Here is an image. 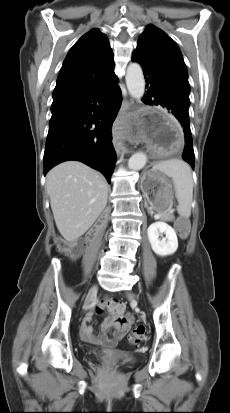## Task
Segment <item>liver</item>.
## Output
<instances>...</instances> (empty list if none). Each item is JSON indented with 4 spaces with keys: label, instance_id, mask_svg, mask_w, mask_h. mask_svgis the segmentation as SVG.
Listing matches in <instances>:
<instances>
[{
    "label": "liver",
    "instance_id": "obj_1",
    "mask_svg": "<svg viewBox=\"0 0 230 413\" xmlns=\"http://www.w3.org/2000/svg\"><path fill=\"white\" fill-rule=\"evenodd\" d=\"M46 188L56 226L69 242L81 237L107 204L105 178L81 162L55 166L46 176Z\"/></svg>",
    "mask_w": 230,
    "mask_h": 413
}]
</instances>
